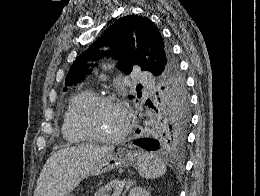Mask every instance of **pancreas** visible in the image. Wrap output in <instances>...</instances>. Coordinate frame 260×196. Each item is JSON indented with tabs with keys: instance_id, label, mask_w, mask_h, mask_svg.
I'll return each mask as SVG.
<instances>
[{
	"instance_id": "pancreas-1",
	"label": "pancreas",
	"mask_w": 260,
	"mask_h": 196,
	"mask_svg": "<svg viewBox=\"0 0 260 196\" xmlns=\"http://www.w3.org/2000/svg\"><path fill=\"white\" fill-rule=\"evenodd\" d=\"M118 182L119 180H111L109 184H106V186H102V188H99L94 196H110L112 188H114V186H117Z\"/></svg>"
}]
</instances>
